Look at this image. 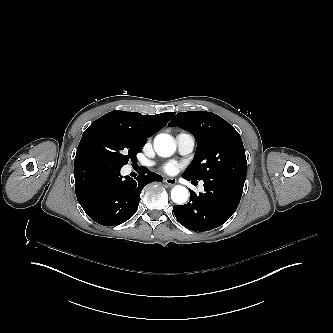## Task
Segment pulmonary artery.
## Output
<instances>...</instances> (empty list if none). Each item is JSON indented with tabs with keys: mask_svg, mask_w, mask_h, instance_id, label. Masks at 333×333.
<instances>
[{
	"mask_svg": "<svg viewBox=\"0 0 333 333\" xmlns=\"http://www.w3.org/2000/svg\"><path fill=\"white\" fill-rule=\"evenodd\" d=\"M177 149L180 155H190L195 146L194 136L189 132H181L176 136ZM203 182H201L202 186Z\"/></svg>",
	"mask_w": 333,
	"mask_h": 333,
	"instance_id": "pulmonary-artery-1",
	"label": "pulmonary artery"
}]
</instances>
